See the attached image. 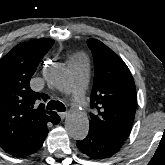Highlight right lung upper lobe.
Masks as SVG:
<instances>
[{
	"label": "right lung upper lobe",
	"instance_id": "right-lung-upper-lobe-1",
	"mask_svg": "<svg viewBox=\"0 0 165 165\" xmlns=\"http://www.w3.org/2000/svg\"><path fill=\"white\" fill-rule=\"evenodd\" d=\"M54 40L44 38L15 46L0 60V145L12 151L23 141L40 135L56 112L34 107L47 95L31 90L30 79Z\"/></svg>",
	"mask_w": 165,
	"mask_h": 165
}]
</instances>
